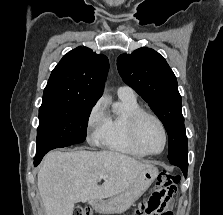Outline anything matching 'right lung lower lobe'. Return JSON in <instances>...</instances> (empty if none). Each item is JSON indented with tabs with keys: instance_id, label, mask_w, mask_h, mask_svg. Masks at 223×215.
<instances>
[{
	"instance_id": "1",
	"label": "right lung lower lobe",
	"mask_w": 223,
	"mask_h": 215,
	"mask_svg": "<svg viewBox=\"0 0 223 215\" xmlns=\"http://www.w3.org/2000/svg\"><path fill=\"white\" fill-rule=\"evenodd\" d=\"M48 151H50V150H48ZM48 151H45V152L36 154V156H35V158H34V159H35V160H34V166H37V165L40 163V161L42 160L43 156H44Z\"/></svg>"
}]
</instances>
